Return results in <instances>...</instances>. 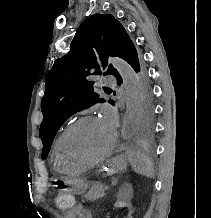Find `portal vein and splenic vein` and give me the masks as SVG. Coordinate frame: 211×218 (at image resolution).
Masks as SVG:
<instances>
[{
	"mask_svg": "<svg viewBox=\"0 0 211 218\" xmlns=\"http://www.w3.org/2000/svg\"><path fill=\"white\" fill-rule=\"evenodd\" d=\"M109 189H110V186H106L104 190H105V191H106V190L108 191Z\"/></svg>",
	"mask_w": 211,
	"mask_h": 218,
	"instance_id": "portal-vein-and-splenic-vein-1",
	"label": "portal vein and splenic vein"
}]
</instances>
